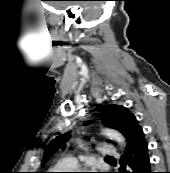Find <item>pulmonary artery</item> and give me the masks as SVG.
<instances>
[{
    "label": "pulmonary artery",
    "mask_w": 170,
    "mask_h": 173,
    "mask_svg": "<svg viewBox=\"0 0 170 173\" xmlns=\"http://www.w3.org/2000/svg\"><path fill=\"white\" fill-rule=\"evenodd\" d=\"M99 155L117 157V156H119V153L115 147L105 145V146H101L99 148ZM70 162H71L72 166L75 165V161L73 159H71Z\"/></svg>",
    "instance_id": "e3ab8cb5"
}]
</instances>
